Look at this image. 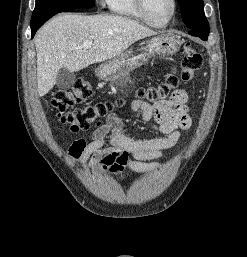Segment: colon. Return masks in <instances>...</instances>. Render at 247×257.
<instances>
[{"mask_svg": "<svg viewBox=\"0 0 247 257\" xmlns=\"http://www.w3.org/2000/svg\"><path fill=\"white\" fill-rule=\"evenodd\" d=\"M182 55L180 78L172 73L163 84L141 88L138 91V96L155 104L165 100L171 91L177 90L180 81L188 83L193 78L194 73L202 66V58L189 43L185 44ZM92 94L91 83L84 79H78L70 88L58 91L52 98L51 103L57 116L63 123L68 124L73 132L89 129L110 114L116 106L123 103L122 100L115 103L105 101L74 108L75 105L88 100Z\"/></svg>", "mask_w": 247, "mask_h": 257, "instance_id": "colon-1", "label": "colon"}]
</instances>
